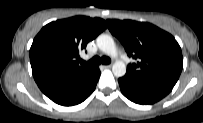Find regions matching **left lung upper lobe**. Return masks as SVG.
Instances as JSON below:
<instances>
[{
    "label": "left lung upper lobe",
    "mask_w": 203,
    "mask_h": 123,
    "mask_svg": "<svg viewBox=\"0 0 203 123\" xmlns=\"http://www.w3.org/2000/svg\"><path fill=\"white\" fill-rule=\"evenodd\" d=\"M110 32L123 44L129 57L126 74L174 87L183 68V57L175 38L146 22L107 20Z\"/></svg>",
    "instance_id": "obj_1"
}]
</instances>
